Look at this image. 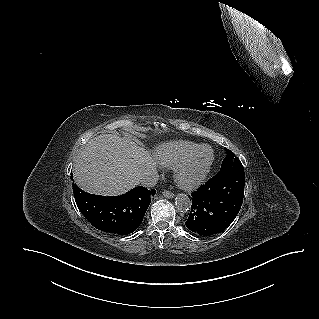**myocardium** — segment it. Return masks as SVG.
<instances>
[{
	"instance_id": "obj_1",
	"label": "myocardium",
	"mask_w": 319,
	"mask_h": 319,
	"mask_svg": "<svg viewBox=\"0 0 319 319\" xmlns=\"http://www.w3.org/2000/svg\"><path fill=\"white\" fill-rule=\"evenodd\" d=\"M204 148L210 149L211 158L198 175L194 177H190L188 175L190 166L192 162L194 161V159L196 158V156L198 155V153ZM214 162H215L214 150L208 145H200L175 167V171H174L175 182L178 184L179 187L185 190L197 189L206 181L214 165Z\"/></svg>"
}]
</instances>
